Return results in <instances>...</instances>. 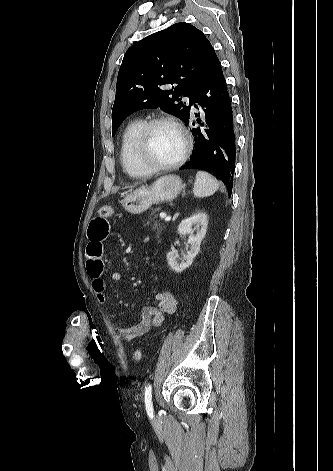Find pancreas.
<instances>
[{
  "instance_id": "obj_1",
  "label": "pancreas",
  "mask_w": 333,
  "mask_h": 471,
  "mask_svg": "<svg viewBox=\"0 0 333 471\" xmlns=\"http://www.w3.org/2000/svg\"><path fill=\"white\" fill-rule=\"evenodd\" d=\"M154 212L155 211H153L151 215H153ZM146 224L151 225L152 230L156 232L157 234H160L165 229L164 223L158 222L156 216L149 217V220L146 222Z\"/></svg>"
}]
</instances>
